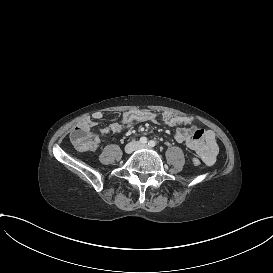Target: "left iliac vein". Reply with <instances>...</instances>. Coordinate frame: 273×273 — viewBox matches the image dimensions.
Masks as SVG:
<instances>
[{"mask_svg": "<svg viewBox=\"0 0 273 273\" xmlns=\"http://www.w3.org/2000/svg\"><path fill=\"white\" fill-rule=\"evenodd\" d=\"M143 148L148 149L149 146L147 144H142V145H139V147L137 149H143Z\"/></svg>", "mask_w": 273, "mask_h": 273, "instance_id": "1", "label": "left iliac vein"}]
</instances>
